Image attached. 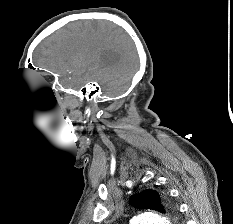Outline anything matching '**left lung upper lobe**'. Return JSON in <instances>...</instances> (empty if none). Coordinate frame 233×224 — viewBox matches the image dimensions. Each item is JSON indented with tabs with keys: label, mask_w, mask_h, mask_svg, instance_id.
<instances>
[{
	"label": "left lung upper lobe",
	"mask_w": 233,
	"mask_h": 224,
	"mask_svg": "<svg viewBox=\"0 0 233 224\" xmlns=\"http://www.w3.org/2000/svg\"><path fill=\"white\" fill-rule=\"evenodd\" d=\"M130 204L139 209H151L161 213H168L171 217L176 215V207L165 194L147 189L130 198Z\"/></svg>",
	"instance_id": "left-lung-upper-lobe-1"
}]
</instances>
